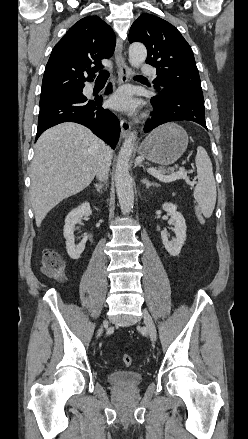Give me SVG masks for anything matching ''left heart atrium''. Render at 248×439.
Listing matches in <instances>:
<instances>
[{"label": "left heart atrium", "mask_w": 248, "mask_h": 439, "mask_svg": "<svg viewBox=\"0 0 248 439\" xmlns=\"http://www.w3.org/2000/svg\"><path fill=\"white\" fill-rule=\"evenodd\" d=\"M112 108L127 112H133L137 108L138 103L133 99L129 89L123 88L118 90L109 100Z\"/></svg>", "instance_id": "obj_1"}]
</instances>
